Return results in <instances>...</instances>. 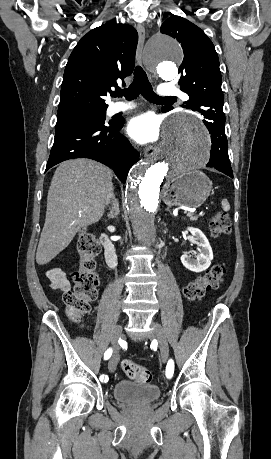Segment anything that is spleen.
Returning <instances> with one entry per match:
<instances>
[{
	"mask_svg": "<svg viewBox=\"0 0 271 459\" xmlns=\"http://www.w3.org/2000/svg\"><path fill=\"white\" fill-rule=\"evenodd\" d=\"M221 204H222V208H223L224 212H229V210H230L229 202H227V200H222Z\"/></svg>",
	"mask_w": 271,
	"mask_h": 459,
	"instance_id": "3e777b00",
	"label": "spleen"
}]
</instances>
